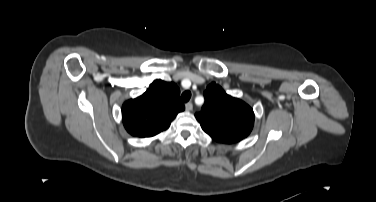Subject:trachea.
<instances>
[{"label":"trachea","mask_w":376,"mask_h":202,"mask_svg":"<svg viewBox=\"0 0 376 202\" xmlns=\"http://www.w3.org/2000/svg\"><path fill=\"white\" fill-rule=\"evenodd\" d=\"M190 98H191V92H189V91H185L181 95V101L182 102H188L190 100Z\"/></svg>","instance_id":"1"}]
</instances>
